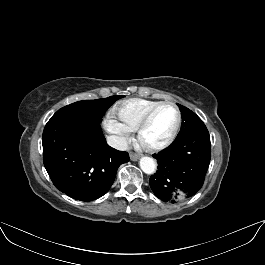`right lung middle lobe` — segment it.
I'll list each match as a JSON object with an SVG mask.
<instances>
[{"label":"right lung middle lobe","mask_w":265,"mask_h":265,"mask_svg":"<svg viewBox=\"0 0 265 265\" xmlns=\"http://www.w3.org/2000/svg\"><path fill=\"white\" fill-rule=\"evenodd\" d=\"M122 96L115 95L103 99L78 101L62 107L52 117L87 118L100 123L107 108Z\"/></svg>","instance_id":"dd1d6c3e"}]
</instances>
